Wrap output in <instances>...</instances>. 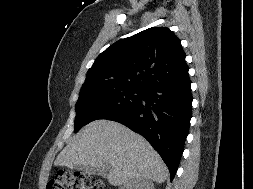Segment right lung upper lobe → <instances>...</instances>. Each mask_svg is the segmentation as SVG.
Instances as JSON below:
<instances>
[{"label":"right lung upper lobe","instance_id":"1","mask_svg":"<svg viewBox=\"0 0 253 189\" xmlns=\"http://www.w3.org/2000/svg\"><path fill=\"white\" fill-rule=\"evenodd\" d=\"M187 77L180 40L167 27H152L119 40L102 52L88 70L80 93L108 86L145 91Z\"/></svg>","mask_w":253,"mask_h":189}]
</instances>
